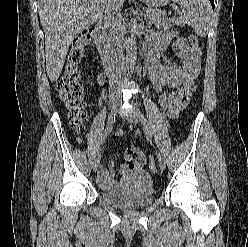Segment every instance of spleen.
Instances as JSON below:
<instances>
[{"mask_svg": "<svg viewBox=\"0 0 248 247\" xmlns=\"http://www.w3.org/2000/svg\"><path fill=\"white\" fill-rule=\"evenodd\" d=\"M180 5V21L191 26L200 37L208 34L211 21L209 0H173Z\"/></svg>", "mask_w": 248, "mask_h": 247, "instance_id": "3e777b00", "label": "spleen"}]
</instances>
